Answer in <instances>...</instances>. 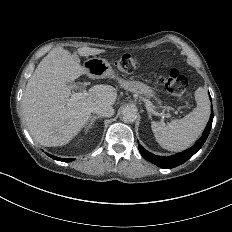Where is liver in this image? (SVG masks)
Returning <instances> with one entry per match:
<instances>
[{
  "instance_id": "liver-1",
  "label": "liver",
  "mask_w": 232,
  "mask_h": 232,
  "mask_svg": "<svg viewBox=\"0 0 232 232\" xmlns=\"http://www.w3.org/2000/svg\"><path fill=\"white\" fill-rule=\"evenodd\" d=\"M80 56L98 55L103 49L81 47ZM78 57L63 48L52 49L29 78L22 97L24 119L31 136L46 147L68 144L83 128L94 107L113 105L117 91L110 85H95L89 95L69 101L67 83L87 74Z\"/></svg>"
}]
</instances>
